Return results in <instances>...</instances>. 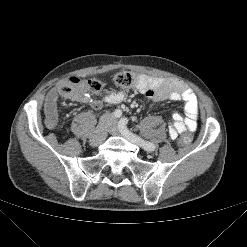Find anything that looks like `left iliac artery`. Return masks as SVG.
<instances>
[{"label": "left iliac artery", "instance_id": "1", "mask_svg": "<svg viewBox=\"0 0 247 247\" xmlns=\"http://www.w3.org/2000/svg\"><path fill=\"white\" fill-rule=\"evenodd\" d=\"M128 124V120L127 118H122L119 123H118V127H119V131L121 133H125V134H129L132 138H134L135 140H137L138 145H140L142 148H144L147 151H154L155 150V145L151 142H147L142 140L140 137H138L136 134H133L127 127Z\"/></svg>", "mask_w": 247, "mask_h": 247}]
</instances>
